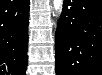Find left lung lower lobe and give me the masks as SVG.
<instances>
[{"mask_svg":"<svg viewBox=\"0 0 102 75\" xmlns=\"http://www.w3.org/2000/svg\"><path fill=\"white\" fill-rule=\"evenodd\" d=\"M102 1L65 0L56 31V75H102Z\"/></svg>","mask_w":102,"mask_h":75,"instance_id":"left-lung-lower-lobe-1","label":"left lung lower lobe"}]
</instances>
